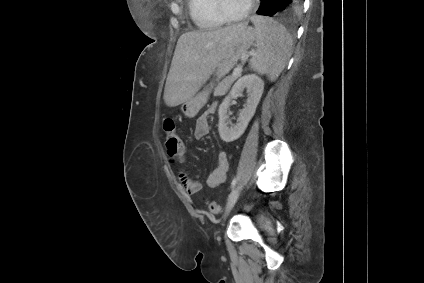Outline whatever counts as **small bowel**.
Listing matches in <instances>:
<instances>
[{
	"instance_id": "c3829d8e",
	"label": "small bowel",
	"mask_w": 424,
	"mask_h": 283,
	"mask_svg": "<svg viewBox=\"0 0 424 283\" xmlns=\"http://www.w3.org/2000/svg\"><path fill=\"white\" fill-rule=\"evenodd\" d=\"M217 103H213L209 108L196 120L194 127V137L201 139L209 133V116L215 112ZM169 158L174 162H182L184 158V146L181 154L170 155L171 146L165 145ZM229 170V158L225 151H220L217 156V164L206 177V184L210 188H215L227 180ZM177 180L183 190L188 195H194L202 189L200 181L192 178L184 169H179L176 173Z\"/></svg>"
}]
</instances>
